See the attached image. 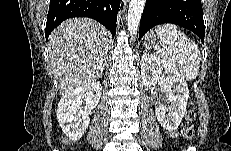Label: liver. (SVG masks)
I'll list each match as a JSON object with an SVG mask.
<instances>
[{
	"label": "liver",
	"mask_w": 231,
	"mask_h": 151,
	"mask_svg": "<svg viewBox=\"0 0 231 151\" xmlns=\"http://www.w3.org/2000/svg\"><path fill=\"white\" fill-rule=\"evenodd\" d=\"M109 41L107 29L87 18L66 20L51 33L49 59L61 97L100 77Z\"/></svg>",
	"instance_id": "liver-1"
}]
</instances>
